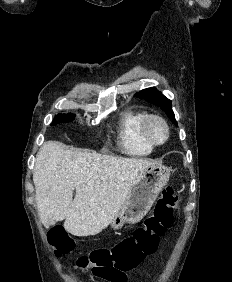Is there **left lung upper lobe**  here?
I'll use <instances>...</instances> for the list:
<instances>
[{
    "instance_id": "left-lung-upper-lobe-1",
    "label": "left lung upper lobe",
    "mask_w": 232,
    "mask_h": 282,
    "mask_svg": "<svg viewBox=\"0 0 232 282\" xmlns=\"http://www.w3.org/2000/svg\"><path fill=\"white\" fill-rule=\"evenodd\" d=\"M135 97L140 99H145L149 103L159 106L163 111H165V113L168 115L171 121L175 125H177L174 112L172 110L171 100L163 96L161 92L157 91V89L155 88L144 89L136 93Z\"/></svg>"
}]
</instances>
